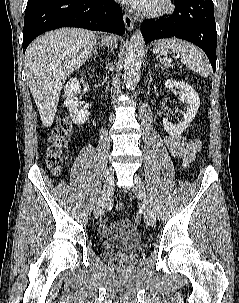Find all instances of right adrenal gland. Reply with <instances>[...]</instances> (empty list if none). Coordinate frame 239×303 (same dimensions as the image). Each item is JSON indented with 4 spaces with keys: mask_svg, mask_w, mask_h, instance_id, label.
<instances>
[{
    "mask_svg": "<svg viewBox=\"0 0 239 303\" xmlns=\"http://www.w3.org/2000/svg\"><path fill=\"white\" fill-rule=\"evenodd\" d=\"M98 57V52H97V48L96 46L93 47L92 53L90 54L89 58H91L92 56Z\"/></svg>",
    "mask_w": 239,
    "mask_h": 303,
    "instance_id": "1",
    "label": "right adrenal gland"
}]
</instances>
